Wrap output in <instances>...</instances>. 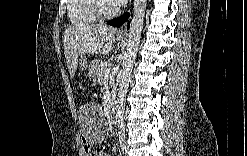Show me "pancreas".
Returning a JSON list of instances; mask_svg holds the SVG:
<instances>
[{
	"instance_id": "cf45deb5",
	"label": "pancreas",
	"mask_w": 247,
	"mask_h": 156,
	"mask_svg": "<svg viewBox=\"0 0 247 156\" xmlns=\"http://www.w3.org/2000/svg\"><path fill=\"white\" fill-rule=\"evenodd\" d=\"M111 63L109 61L98 62L95 64V68L90 71L92 77H94L95 81L100 85L106 83L105 74L107 71H110Z\"/></svg>"
}]
</instances>
